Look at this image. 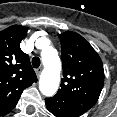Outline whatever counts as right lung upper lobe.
I'll use <instances>...</instances> for the list:
<instances>
[{
    "mask_svg": "<svg viewBox=\"0 0 117 117\" xmlns=\"http://www.w3.org/2000/svg\"><path fill=\"white\" fill-rule=\"evenodd\" d=\"M26 34L22 25L0 32V117L12 111L23 90L37 81L28 55L20 49Z\"/></svg>",
    "mask_w": 117,
    "mask_h": 117,
    "instance_id": "1",
    "label": "right lung upper lobe"
}]
</instances>
